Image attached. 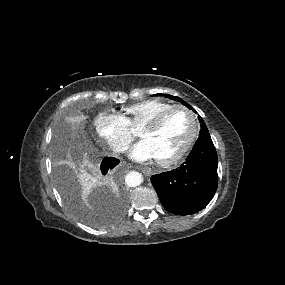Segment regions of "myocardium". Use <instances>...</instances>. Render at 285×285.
Listing matches in <instances>:
<instances>
[{
	"label": "myocardium",
	"mask_w": 285,
	"mask_h": 285,
	"mask_svg": "<svg viewBox=\"0 0 285 285\" xmlns=\"http://www.w3.org/2000/svg\"><path fill=\"white\" fill-rule=\"evenodd\" d=\"M177 111H182L189 117L192 124V131L187 142L177 153H175L173 156L169 158L157 160L158 165L162 167H171L173 165L178 164L192 150L200 133V123L198 121V118L191 109L183 105H172L171 107L164 110L163 112L152 118L151 120L145 122L142 127V128L158 129L173 113Z\"/></svg>",
	"instance_id": "f54148a6"
}]
</instances>
